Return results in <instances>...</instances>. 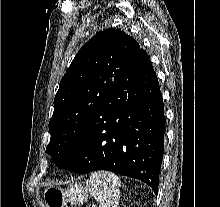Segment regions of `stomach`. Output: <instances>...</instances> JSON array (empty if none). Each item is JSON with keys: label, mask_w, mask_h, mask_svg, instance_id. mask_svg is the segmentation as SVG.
<instances>
[{"label": "stomach", "mask_w": 220, "mask_h": 207, "mask_svg": "<svg viewBox=\"0 0 220 207\" xmlns=\"http://www.w3.org/2000/svg\"><path fill=\"white\" fill-rule=\"evenodd\" d=\"M88 186L81 183H72L67 189L60 187H47L43 192L46 207H65L68 202L83 204L87 201Z\"/></svg>", "instance_id": "stomach-1"}]
</instances>
